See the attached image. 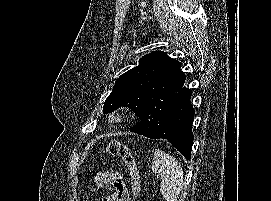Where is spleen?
I'll return each mask as SVG.
<instances>
[{
	"label": "spleen",
	"instance_id": "obj_1",
	"mask_svg": "<svg viewBox=\"0 0 271 201\" xmlns=\"http://www.w3.org/2000/svg\"><path fill=\"white\" fill-rule=\"evenodd\" d=\"M152 171L160 174V192L166 201H177L184 185L183 169L179 161L162 150H155Z\"/></svg>",
	"mask_w": 271,
	"mask_h": 201
}]
</instances>
